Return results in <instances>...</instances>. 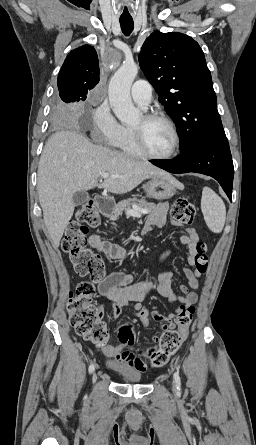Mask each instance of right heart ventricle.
Returning <instances> with one entry per match:
<instances>
[{
    "label": "right heart ventricle",
    "mask_w": 256,
    "mask_h": 445,
    "mask_svg": "<svg viewBox=\"0 0 256 445\" xmlns=\"http://www.w3.org/2000/svg\"><path fill=\"white\" fill-rule=\"evenodd\" d=\"M114 145L127 155L141 156L140 152L137 150L134 144L131 131L127 127H123L122 134Z\"/></svg>",
    "instance_id": "right-heart-ventricle-1"
}]
</instances>
